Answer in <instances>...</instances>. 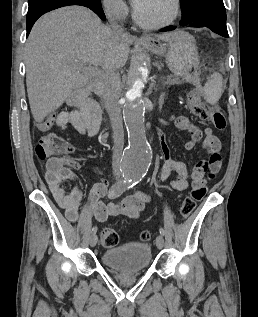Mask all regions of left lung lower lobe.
<instances>
[{
  "label": "left lung lower lobe",
  "mask_w": 258,
  "mask_h": 317,
  "mask_svg": "<svg viewBox=\"0 0 258 317\" xmlns=\"http://www.w3.org/2000/svg\"><path fill=\"white\" fill-rule=\"evenodd\" d=\"M181 25L190 27H207L213 32L228 38L226 18L223 16L221 8L217 5H204L201 8L200 13L196 15L190 23H181ZM175 28V26H170L162 31H171Z\"/></svg>",
  "instance_id": "left-lung-lower-lobe-1"
}]
</instances>
